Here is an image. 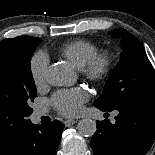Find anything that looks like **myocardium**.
<instances>
[{
	"mask_svg": "<svg viewBox=\"0 0 155 155\" xmlns=\"http://www.w3.org/2000/svg\"><path fill=\"white\" fill-rule=\"evenodd\" d=\"M114 66V57L111 51H97L80 69L83 76L93 83L105 81L111 74Z\"/></svg>",
	"mask_w": 155,
	"mask_h": 155,
	"instance_id": "myocardium-1",
	"label": "myocardium"
}]
</instances>
